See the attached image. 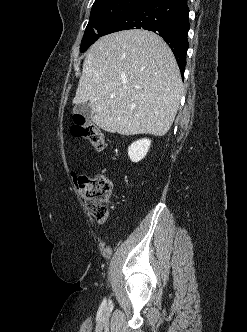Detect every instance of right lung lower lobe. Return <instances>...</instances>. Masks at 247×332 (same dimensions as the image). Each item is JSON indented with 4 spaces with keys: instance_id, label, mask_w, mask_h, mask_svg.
<instances>
[{
    "instance_id": "obj_1",
    "label": "right lung lower lobe",
    "mask_w": 247,
    "mask_h": 332,
    "mask_svg": "<svg viewBox=\"0 0 247 332\" xmlns=\"http://www.w3.org/2000/svg\"><path fill=\"white\" fill-rule=\"evenodd\" d=\"M188 15L187 0H147L109 25L103 36L129 29L155 32L170 46L183 76L189 47Z\"/></svg>"
}]
</instances>
